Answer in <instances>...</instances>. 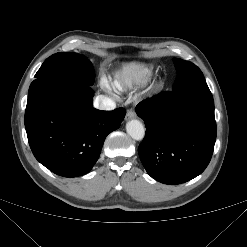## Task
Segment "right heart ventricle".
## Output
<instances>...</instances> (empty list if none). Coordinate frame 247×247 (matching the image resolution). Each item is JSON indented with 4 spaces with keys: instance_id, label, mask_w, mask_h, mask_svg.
I'll use <instances>...</instances> for the list:
<instances>
[{
    "instance_id": "1",
    "label": "right heart ventricle",
    "mask_w": 247,
    "mask_h": 247,
    "mask_svg": "<svg viewBox=\"0 0 247 247\" xmlns=\"http://www.w3.org/2000/svg\"><path fill=\"white\" fill-rule=\"evenodd\" d=\"M151 75L152 68L149 66L128 64L114 74L111 85L118 91L128 90L147 82Z\"/></svg>"
}]
</instances>
